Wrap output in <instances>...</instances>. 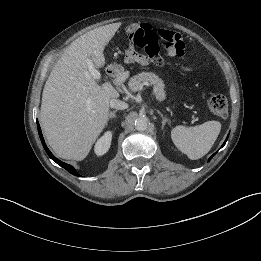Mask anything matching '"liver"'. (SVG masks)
Segmentation results:
<instances>
[{
  "mask_svg": "<svg viewBox=\"0 0 261 261\" xmlns=\"http://www.w3.org/2000/svg\"><path fill=\"white\" fill-rule=\"evenodd\" d=\"M108 27L91 30L74 40L53 67L43 89L40 121L58 157L83 160L108 121L109 102L119 96L110 84L100 85L86 59L104 66L103 50L113 36ZM126 73L114 83L120 85Z\"/></svg>",
  "mask_w": 261,
  "mask_h": 261,
  "instance_id": "obj_1",
  "label": "liver"
}]
</instances>
